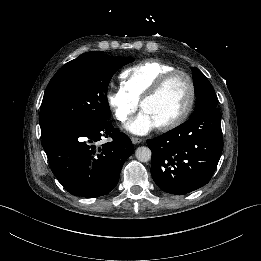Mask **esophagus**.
I'll return each instance as SVG.
<instances>
[{
	"instance_id": "34e87169",
	"label": "esophagus",
	"mask_w": 261,
	"mask_h": 261,
	"mask_svg": "<svg viewBox=\"0 0 261 261\" xmlns=\"http://www.w3.org/2000/svg\"><path fill=\"white\" fill-rule=\"evenodd\" d=\"M131 141L133 144H138V143L142 142V139L139 137H132Z\"/></svg>"
}]
</instances>
